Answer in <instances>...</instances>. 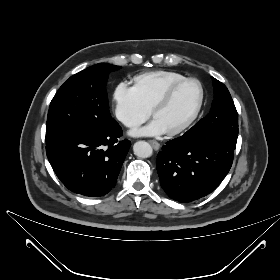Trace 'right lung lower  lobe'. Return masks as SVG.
I'll return each instance as SVG.
<instances>
[{
  "label": "right lung lower lobe",
  "instance_id": "1",
  "mask_svg": "<svg viewBox=\"0 0 280 280\" xmlns=\"http://www.w3.org/2000/svg\"><path fill=\"white\" fill-rule=\"evenodd\" d=\"M120 136L122 129L117 122L104 129L63 131L46 140L47 157L69 190L104 196L115 187L131 146L128 140L119 141Z\"/></svg>",
  "mask_w": 280,
  "mask_h": 280
}]
</instances>
